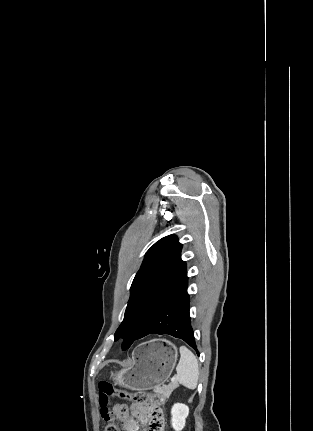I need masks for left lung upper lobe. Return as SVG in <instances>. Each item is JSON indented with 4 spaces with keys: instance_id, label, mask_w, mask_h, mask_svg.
<instances>
[{
    "instance_id": "1",
    "label": "left lung upper lobe",
    "mask_w": 313,
    "mask_h": 431,
    "mask_svg": "<svg viewBox=\"0 0 313 431\" xmlns=\"http://www.w3.org/2000/svg\"><path fill=\"white\" fill-rule=\"evenodd\" d=\"M182 245L169 235L156 242L146 253L130 289L124 319L115 332L123 337V350L137 339L157 312L187 287L186 263L181 260Z\"/></svg>"
}]
</instances>
